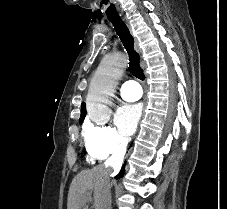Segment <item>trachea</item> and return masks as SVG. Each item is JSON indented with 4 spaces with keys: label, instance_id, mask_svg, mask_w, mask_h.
I'll return each instance as SVG.
<instances>
[{
    "label": "trachea",
    "instance_id": "1",
    "mask_svg": "<svg viewBox=\"0 0 227 209\" xmlns=\"http://www.w3.org/2000/svg\"><path fill=\"white\" fill-rule=\"evenodd\" d=\"M107 17L109 19V22L113 24L116 33L118 34L121 42L128 52L129 70L131 74L134 75V77H137V79L144 80L145 76L143 70L140 67V57L133 48L134 40L129 31V28L120 18V15L118 13H109L107 14Z\"/></svg>",
    "mask_w": 227,
    "mask_h": 209
}]
</instances>
